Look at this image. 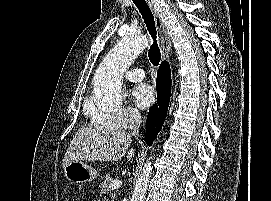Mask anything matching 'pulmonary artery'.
<instances>
[{"mask_svg":"<svg viewBox=\"0 0 271 201\" xmlns=\"http://www.w3.org/2000/svg\"><path fill=\"white\" fill-rule=\"evenodd\" d=\"M125 77L133 82L142 81L145 77L144 71L140 68L129 70L125 73Z\"/></svg>","mask_w":271,"mask_h":201,"instance_id":"1","label":"pulmonary artery"}]
</instances>
